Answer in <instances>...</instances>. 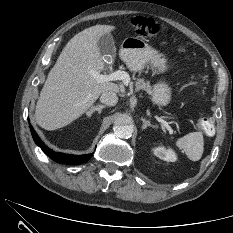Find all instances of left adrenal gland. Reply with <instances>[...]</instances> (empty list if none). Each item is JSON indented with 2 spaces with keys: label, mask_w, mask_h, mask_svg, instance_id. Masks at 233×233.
Masks as SVG:
<instances>
[{
  "label": "left adrenal gland",
  "mask_w": 233,
  "mask_h": 233,
  "mask_svg": "<svg viewBox=\"0 0 233 233\" xmlns=\"http://www.w3.org/2000/svg\"><path fill=\"white\" fill-rule=\"evenodd\" d=\"M141 120L143 122L142 130H145L147 127H152V128L157 129L156 125L151 124L150 121L146 120L145 118H141Z\"/></svg>",
  "instance_id": "left-adrenal-gland-1"
}]
</instances>
